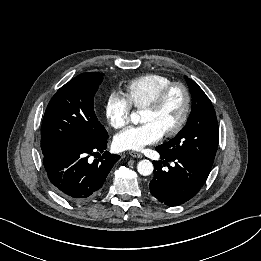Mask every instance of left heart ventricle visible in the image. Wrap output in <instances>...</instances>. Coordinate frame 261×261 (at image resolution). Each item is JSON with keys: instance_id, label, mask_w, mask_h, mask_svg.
I'll use <instances>...</instances> for the list:
<instances>
[{"instance_id": "1", "label": "left heart ventricle", "mask_w": 261, "mask_h": 261, "mask_svg": "<svg viewBox=\"0 0 261 261\" xmlns=\"http://www.w3.org/2000/svg\"><path fill=\"white\" fill-rule=\"evenodd\" d=\"M184 108V95L181 90L175 89L167 98L165 104L159 112L153 113L144 110L142 113V123H152L162 133L172 129L179 121Z\"/></svg>"}]
</instances>
